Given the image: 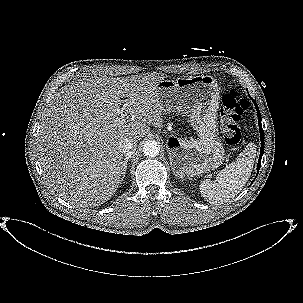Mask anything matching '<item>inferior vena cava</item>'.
<instances>
[{"label":"inferior vena cava","mask_w":303,"mask_h":303,"mask_svg":"<svg viewBox=\"0 0 303 303\" xmlns=\"http://www.w3.org/2000/svg\"><path fill=\"white\" fill-rule=\"evenodd\" d=\"M121 148L125 157H131V155L136 150V143L130 138H124L121 142Z\"/></svg>","instance_id":"inferior-vena-cava-1"}]
</instances>
